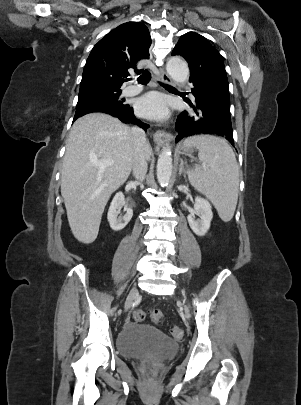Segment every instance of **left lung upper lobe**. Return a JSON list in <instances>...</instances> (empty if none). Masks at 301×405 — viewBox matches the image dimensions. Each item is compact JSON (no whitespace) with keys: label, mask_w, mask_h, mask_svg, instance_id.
Listing matches in <instances>:
<instances>
[{"label":"left lung upper lobe","mask_w":301,"mask_h":405,"mask_svg":"<svg viewBox=\"0 0 301 405\" xmlns=\"http://www.w3.org/2000/svg\"><path fill=\"white\" fill-rule=\"evenodd\" d=\"M172 55L185 58L190 68V81L198 83L213 96L230 102L228 79L218 51L201 35H182Z\"/></svg>","instance_id":"1"}]
</instances>
